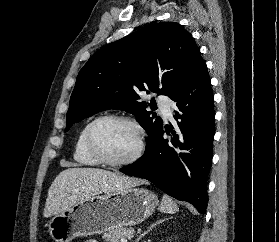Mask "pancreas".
<instances>
[{
	"mask_svg": "<svg viewBox=\"0 0 279 242\" xmlns=\"http://www.w3.org/2000/svg\"><path fill=\"white\" fill-rule=\"evenodd\" d=\"M133 233L134 230L132 228H116L104 233L102 238L106 242H121V239L132 237Z\"/></svg>",
	"mask_w": 279,
	"mask_h": 242,
	"instance_id": "obj_1",
	"label": "pancreas"
}]
</instances>
